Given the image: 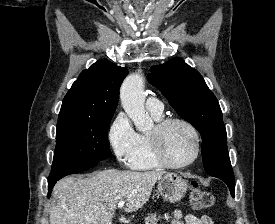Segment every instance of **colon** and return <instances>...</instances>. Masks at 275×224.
Here are the masks:
<instances>
[{"instance_id":"5ec220e1","label":"colon","mask_w":275,"mask_h":224,"mask_svg":"<svg viewBox=\"0 0 275 224\" xmlns=\"http://www.w3.org/2000/svg\"><path fill=\"white\" fill-rule=\"evenodd\" d=\"M190 203L196 210L209 208L214 203V196L209 191L200 187L196 182L190 184Z\"/></svg>"}]
</instances>
